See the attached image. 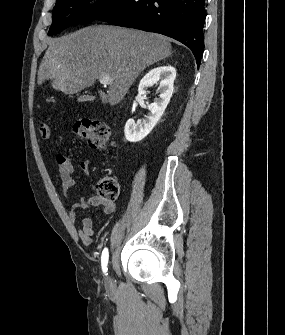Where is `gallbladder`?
<instances>
[{
    "label": "gallbladder",
    "mask_w": 285,
    "mask_h": 335,
    "mask_svg": "<svg viewBox=\"0 0 285 335\" xmlns=\"http://www.w3.org/2000/svg\"><path fill=\"white\" fill-rule=\"evenodd\" d=\"M77 102H81V100H77Z\"/></svg>",
    "instance_id": "1"
}]
</instances>
